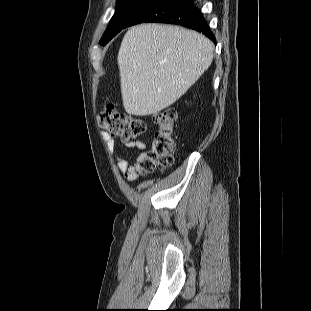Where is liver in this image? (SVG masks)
<instances>
[{"label":"liver","instance_id":"6515ba94","mask_svg":"<svg viewBox=\"0 0 311 311\" xmlns=\"http://www.w3.org/2000/svg\"><path fill=\"white\" fill-rule=\"evenodd\" d=\"M213 52L209 39L179 26L130 28L117 57L125 111L147 116L175 103L209 68Z\"/></svg>","mask_w":311,"mask_h":311}]
</instances>
